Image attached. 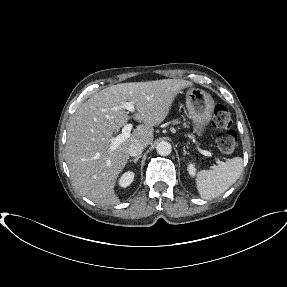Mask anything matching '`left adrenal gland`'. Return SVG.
<instances>
[{"instance_id": "a2214340", "label": "left adrenal gland", "mask_w": 287, "mask_h": 287, "mask_svg": "<svg viewBox=\"0 0 287 287\" xmlns=\"http://www.w3.org/2000/svg\"><path fill=\"white\" fill-rule=\"evenodd\" d=\"M183 154H184V155H188V154H189V153L186 151L185 146L183 147Z\"/></svg>"}]
</instances>
